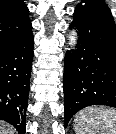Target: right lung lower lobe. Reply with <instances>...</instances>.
<instances>
[{
	"instance_id": "98d812e1",
	"label": "right lung lower lobe",
	"mask_w": 116,
	"mask_h": 134,
	"mask_svg": "<svg viewBox=\"0 0 116 134\" xmlns=\"http://www.w3.org/2000/svg\"><path fill=\"white\" fill-rule=\"evenodd\" d=\"M32 60L31 30L0 51V120L12 124L19 134L26 130Z\"/></svg>"
}]
</instances>
